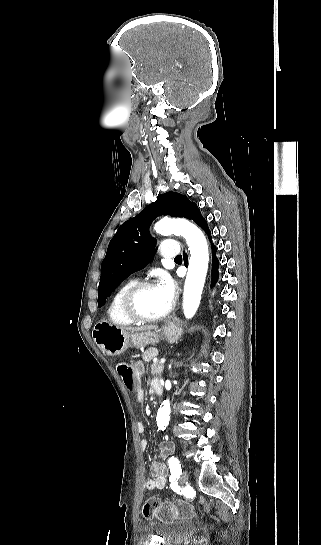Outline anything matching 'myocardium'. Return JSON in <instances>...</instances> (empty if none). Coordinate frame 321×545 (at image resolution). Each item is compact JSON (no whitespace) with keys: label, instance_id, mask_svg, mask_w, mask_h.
Returning a JSON list of instances; mask_svg holds the SVG:
<instances>
[{"label":"myocardium","instance_id":"1","mask_svg":"<svg viewBox=\"0 0 321 545\" xmlns=\"http://www.w3.org/2000/svg\"><path fill=\"white\" fill-rule=\"evenodd\" d=\"M155 287H156V284L154 282L139 281V282H135L133 285L127 288L125 292L123 293L120 300V311L122 316L131 324H146V323L158 322L165 319L171 313L173 309L172 305L166 312L159 315H154V316H141L133 310L132 302H133V299L136 297V295H138L142 291L150 290Z\"/></svg>","mask_w":321,"mask_h":545}]
</instances>
